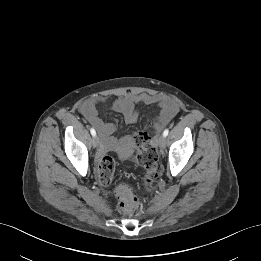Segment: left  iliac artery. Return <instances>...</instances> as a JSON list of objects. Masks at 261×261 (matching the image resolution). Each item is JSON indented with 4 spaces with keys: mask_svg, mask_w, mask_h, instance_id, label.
I'll list each match as a JSON object with an SVG mask.
<instances>
[{
    "mask_svg": "<svg viewBox=\"0 0 261 261\" xmlns=\"http://www.w3.org/2000/svg\"><path fill=\"white\" fill-rule=\"evenodd\" d=\"M169 133V130L168 129H165L164 132H163V136L166 137Z\"/></svg>",
    "mask_w": 261,
    "mask_h": 261,
    "instance_id": "obj_1",
    "label": "left iliac artery"
}]
</instances>
